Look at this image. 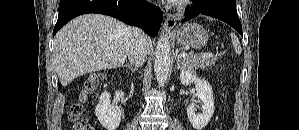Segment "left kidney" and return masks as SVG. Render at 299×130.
I'll return each instance as SVG.
<instances>
[{
    "label": "left kidney",
    "instance_id": "1",
    "mask_svg": "<svg viewBox=\"0 0 299 130\" xmlns=\"http://www.w3.org/2000/svg\"><path fill=\"white\" fill-rule=\"evenodd\" d=\"M180 81L186 86L195 84L197 96L202 102V113L196 114L194 105L190 104L187 107V115L193 128L202 130L209 123L215 110L212 87L206 80L196 77L193 72L186 69H182Z\"/></svg>",
    "mask_w": 299,
    "mask_h": 130
}]
</instances>
